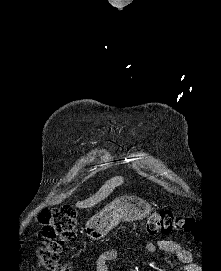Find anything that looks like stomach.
<instances>
[{"mask_svg": "<svg viewBox=\"0 0 221 271\" xmlns=\"http://www.w3.org/2000/svg\"><path fill=\"white\" fill-rule=\"evenodd\" d=\"M149 205V202H144V197H119V199L111 201L97 215L88 219L86 223L88 237L102 239L122 219L125 221L142 219L145 217Z\"/></svg>", "mask_w": 221, "mask_h": 271, "instance_id": "obj_1", "label": "stomach"}]
</instances>
